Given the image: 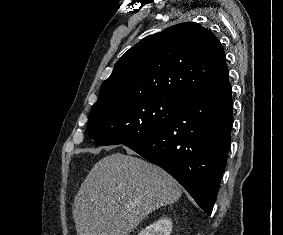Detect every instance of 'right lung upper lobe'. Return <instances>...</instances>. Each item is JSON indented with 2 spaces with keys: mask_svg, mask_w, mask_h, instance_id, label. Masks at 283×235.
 I'll list each match as a JSON object with an SVG mask.
<instances>
[{
  "mask_svg": "<svg viewBox=\"0 0 283 235\" xmlns=\"http://www.w3.org/2000/svg\"><path fill=\"white\" fill-rule=\"evenodd\" d=\"M226 80L225 52L218 38L198 23L185 22L130 48L102 83L94 106L130 97L179 100Z\"/></svg>",
  "mask_w": 283,
  "mask_h": 235,
  "instance_id": "obj_1",
  "label": "right lung upper lobe"
}]
</instances>
